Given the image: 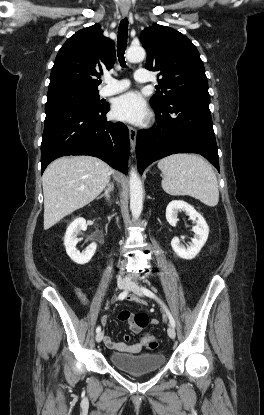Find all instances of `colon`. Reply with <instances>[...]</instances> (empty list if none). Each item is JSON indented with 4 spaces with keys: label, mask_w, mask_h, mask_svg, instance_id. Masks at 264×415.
I'll return each mask as SVG.
<instances>
[{
    "label": "colon",
    "mask_w": 264,
    "mask_h": 415,
    "mask_svg": "<svg viewBox=\"0 0 264 415\" xmlns=\"http://www.w3.org/2000/svg\"><path fill=\"white\" fill-rule=\"evenodd\" d=\"M132 319L134 324L139 328L144 327L147 324V318L143 314H135ZM140 339L143 343L145 352H153L158 346L156 338L149 333H142Z\"/></svg>",
    "instance_id": "obj_1"
}]
</instances>
